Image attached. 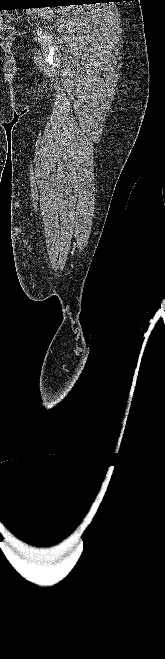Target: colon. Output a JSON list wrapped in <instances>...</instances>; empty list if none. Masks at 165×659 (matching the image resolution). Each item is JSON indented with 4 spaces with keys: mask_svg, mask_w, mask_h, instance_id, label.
<instances>
[{
    "mask_svg": "<svg viewBox=\"0 0 165 659\" xmlns=\"http://www.w3.org/2000/svg\"><path fill=\"white\" fill-rule=\"evenodd\" d=\"M15 33L14 27L6 23L2 18H0V38L8 39L11 38Z\"/></svg>",
    "mask_w": 165,
    "mask_h": 659,
    "instance_id": "1",
    "label": "colon"
}]
</instances>
